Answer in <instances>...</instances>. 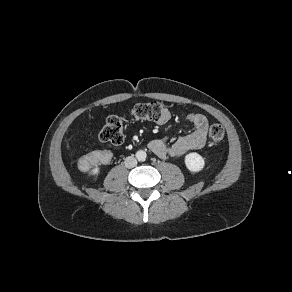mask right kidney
I'll return each instance as SVG.
<instances>
[{"instance_id": "right-kidney-1", "label": "right kidney", "mask_w": 292, "mask_h": 292, "mask_svg": "<svg viewBox=\"0 0 292 292\" xmlns=\"http://www.w3.org/2000/svg\"><path fill=\"white\" fill-rule=\"evenodd\" d=\"M100 172V168L99 167H95L91 170V174L94 176H97Z\"/></svg>"}]
</instances>
